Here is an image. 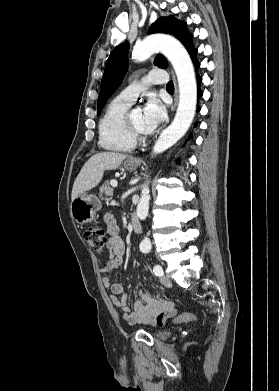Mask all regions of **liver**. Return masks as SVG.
<instances>
[{
    "mask_svg": "<svg viewBox=\"0 0 279 391\" xmlns=\"http://www.w3.org/2000/svg\"><path fill=\"white\" fill-rule=\"evenodd\" d=\"M126 155L115 152H100L93 155L82 167L74 181L71 199L95 188L103 178L106 170H116Z\"/></svg>",
    "mask_w": 279,
    "mask_h": 391,
    "instance_id": "obj_1",
    "label": "liver"
}]
</instances>
